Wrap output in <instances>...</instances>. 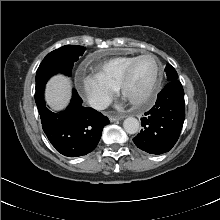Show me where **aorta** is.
<instances>
[{"label": "aorta", "mask_w": 220, "mask_h": 220, "mask_svg": "<svg viewBox=\"0 0 220 220\" xmlns=\"http://www.w3.org/2000/svg\"><path fill=\"white\" fill-rule=\"evenodd\" d=\"M123 127L128 134H135L139 130V121L134 117H128L124 120Z\"/></svg>", "instance_id": "762f6f07"}]
</instances>
